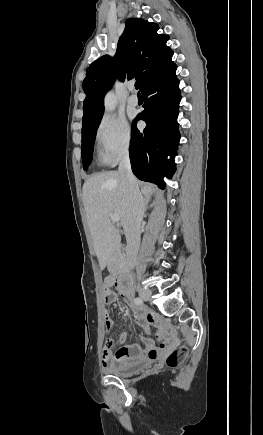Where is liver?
Wrapping results in <instances>:
<instances>
[{
  "mask_svg": "<svg viewBox=\"0 0 263 435\" xmlns=\"http://www.w3.org/2000/svg\"><path fill=\"white\" fill-rule=\"evenodd\" d=\"M137 184L141 187L144 202L149 200L154 186ZM82 192L94 251L103 270L120 244V235L111 222L110 214L119 215L124 229L129 223L125 188L119 172L109 171L88 178Z\"/></svg>",
  "mask_w": 263,
  "mask_h": 435,
  "instance_id": "liver-1",
  "label": "liver"
}]
</instances>
